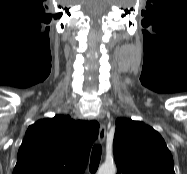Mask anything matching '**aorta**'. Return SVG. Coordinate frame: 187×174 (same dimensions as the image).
Returning a JSON list of instances; mask_svg holds the SVG:
<instances>
[{"label": "aorta", "instance_id": "obj_1", "mask_svg": "<svg viewBox=\"0 0 187 174\" xmlns=\"http://www.w3.org/2000/svg\"><path fill=\"white\" fill-rule=\"evenodd\" d=\"M98 174H116V167L113 163H104L98 169Z\"/></svg>", "mask_w": 187, "mask_h": 174}]
</instances>
